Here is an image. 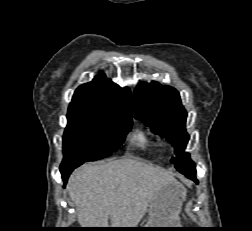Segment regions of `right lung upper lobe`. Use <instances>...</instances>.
Masks as SVG:
<instances>
[{
    "label": "right lung upper lobe",
    "mask_w": 252,
    "mask_h": 231,
    "mask_svg": "<svg viewBox=\"0 0 252 231\" xmlns=\"http://www.w3.org/2000/svg\"><path fill=\"white\" fill-rule=\"evenodd\" d=\"M129 98L128 88H120L100 73L91 82L76 89L68 111L80 110L131 118Z\"/></svg>",
    "instance_id": "cb5924a9"
}]
</instances>
